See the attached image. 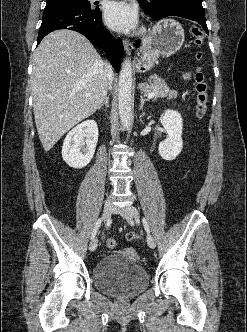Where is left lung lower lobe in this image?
<instances>
[{"label":"left lung lower lobe","instance_id":"0a47b994","mask_svg":"<svg viewBox=\"0 0 247 332\" xmlns=\"http://www.w3.org/2000/svg\"><path fill=\"white\" fill-rule=\"evenodd\" d=\"M168 16H178L188 20H192L198 23L204 31L208 34V28L206 25L205 11L202 9H192V8H174L169 11H166L164 14L159 16V19L168 17ZM152 19H155L151 16ZM137 45V44H136ZM138 46V45H137Z\"/></svg>","mask_w":247,"mask_h":332}]
</instances>
